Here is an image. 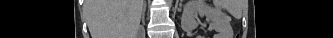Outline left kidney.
Returning <instances> with one entry per match:
<instances>
[{
  "label": "left kidney",
  "instance_id": "5707ae66",
  "mask_svg": "<svg viewBox=\"0 0 333 38\" xmlns=\"http://www.w3.org/2000/svg\"><path fill=\"white\" fill-rule=\"evenodd\" d=\"M199 17H206L209 28L217 32L214 38H231L233 29L230 19L219 9L210 6L205 0H189L183 9L181 26L186 32L196 29Z\"/></svg>",
  "mask_w": 333,
  "mask_h": 38
}]
</instances>
